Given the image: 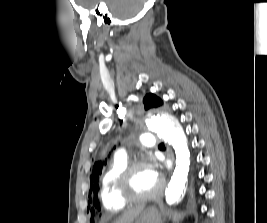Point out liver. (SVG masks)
Listing matches in <instances>:
<instances>
[{
  "label": "liver",
  "instance_id": "liver-1",
  "mask_svg": "<svg viewBox=\"0 0 267 223\" xmlns=\"http://www.w3.org/2000/svg\"><path fill=\"white\" fill-rule=\"evenodd\" d=\"M144 209V205L137 206L124 212V214L115 223H129L137 218Z\"/></svg>",
  "mask_w": 267,
  "mask_h": 223
}]
</instances>
